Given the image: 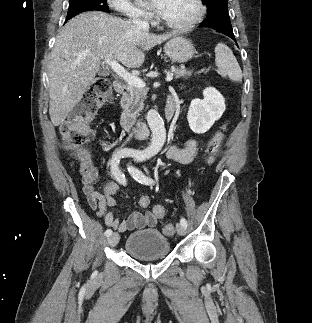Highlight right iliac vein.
<instances>
[{
  "label": "right iliac vein",
  "instance_id": "obj_1",
  "mask_svg": "<svg viewBox=\"0 0 312 323\" xmlns=\"http://www.w3.org/2000/svg\"><path fill=\"white\" fill-rule=\"evenodd\" d=\"M119 242V234L117 232L111 234L108 238V244L111 247H114L117 245V243Z\"/></svg>",
  "mask_w": 312,
  "mask_h": 323
}]
</instances>
